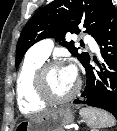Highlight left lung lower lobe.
<instances>
[{
    "label": "left lung lower lobe",
    "instance_id": "obj_1",
    "mask_svg": "<svg viewBox=\"0 0 117 131\" xmlns=\"http://www.w3.org/2000/svg\"><path fill=\"white\" fill-rule=\"evenodd\" d=\"M94 38L100 45L103 63L95 69L89 58L83 65L87 77L82 94L85 100L74 103L102 108L117 119V10L112 2L106 7Z\"/></svg>",
    "mask_w": 117,
    "mask_h": 131
}]
</instances>
